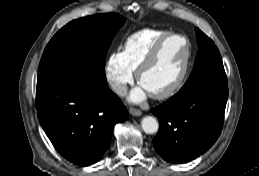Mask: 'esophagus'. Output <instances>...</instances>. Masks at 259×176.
<instances>
[{
	"label": "esophagus",
	"mask_w": 259,
	"mask_h": 176,
	"mask_svg": "<svg viewBox=\"0 0 259 176\" xmlns=\"http://www.w3.org/2000/svg\"><path fill=\"white\" fill-rule=\"evenodd\" d=\"M129 112H130V114L133 115V116H141V115H142L141 110L136 109V108H133V107H131V108L129 109Z\"/></svg>",
	"instance_id": "esophagus-1"
}]
</instances>
